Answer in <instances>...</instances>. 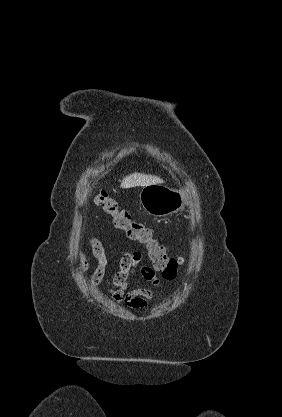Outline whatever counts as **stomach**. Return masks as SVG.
<instances>
[{
	"label": "stomach",
	"instance_id": "0dacf381",
	"mask_svg": "<svg viewBox=\"0 0 282 417\" xmlns=\"http://www.w3.org/2000/svg\"><path fill=\"white\" fill-rule=\"evenodd\" d=\"M144 211L154 217L173 215L186 204L185 196L181 190H174L163 184H147L139 194Z\"/></svg>",
	"mask_w": 282,
	"mask_h": 417
}]
</instances>
